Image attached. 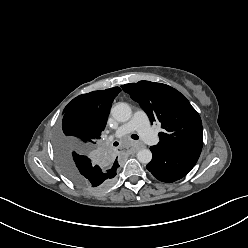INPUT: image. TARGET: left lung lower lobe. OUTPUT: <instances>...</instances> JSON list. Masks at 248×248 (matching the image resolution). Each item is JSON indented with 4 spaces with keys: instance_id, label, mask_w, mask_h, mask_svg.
I'll return each instance as SVG.
<instances>
[{
    "instance_id": "1",
    "label": "left lung lower lobe",
    "mask_w": 248,
    "mask_h": 248,
    "mask_svg": "<svg viewBox=\"0 0 248 248\" xmlns=\"http://www.w3.org/2000/svg\"><path fill=\"white\" fill-rule=\"evenodd\" d=\"M153 158L146 168L162 182H174L184 177L196 164L201 145H190L172 149L150 147Z\"/></svg>"
}]
</instances>
